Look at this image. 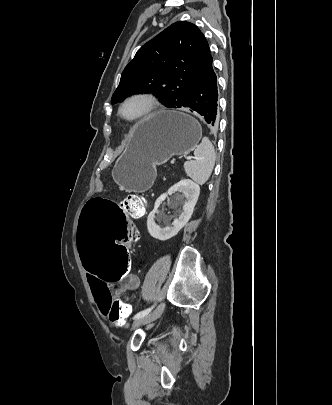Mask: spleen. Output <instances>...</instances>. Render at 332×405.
Returning a JSON list of instances; mask_svg holds the SVG:
<instances>
[{
	"instance_id": "spleen-1",
	"label": "spleen",
	"mask_w": 332,
	"mask_h": 405,
	"mask_svg": "<svg viewBox=\"0 0 332 405\" xmlns=\"http://www.w3.org/2000/svg\"><path fill=\"white\" fill-rule=\"evenodd\" d=\"M195 160L186 161L184 169L187 176L197 184L203 185L213 171L215 165V150L209 138L204 137L194 151Z\"/></svg>"
}]
</instances>
